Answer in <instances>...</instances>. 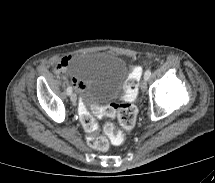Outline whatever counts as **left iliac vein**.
<instances>
[{
  "instance_id": "left-iliac-vein-1",
  "label": "left iliac vein",
  "mask_w": 215,
  "mask_h": 183,
  "mask_svg": "<svg viewBox=\"0 0 215 183\" xmlns=\"http://www.w3.org/2000/svg\"><path fill=\"white\" fill-rule=\"evenodd\" d=\"M147 80L146 78L143 79V81L141 82V90L142 91H146L147 89Z\"/></svg>"
}]
</instances>
